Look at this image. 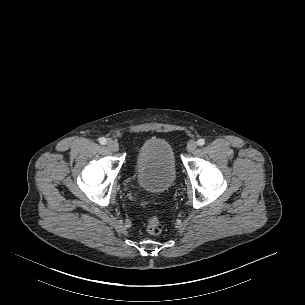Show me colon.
<instances>
[{"instance_id": "5ec220e1", "label": "colon", "mask_w": 305, "mask_h": 305, "mask_svg": "<svg viewBox=\"0 0 305 305\" xmlns=\"http://www.w3.org/2000/svg\"><path fill=\"white\" fill-rule=\"evenodd\" d=\"M146 230L152 235L159 234L162 230V223L158 216H151L146 223Z\"/></svg>"}]
</instances>
